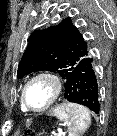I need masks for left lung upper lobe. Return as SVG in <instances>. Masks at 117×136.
Instances as JSON below:
<instances>
[{"instance_id": "5c2ea615", "label": "left lung upper lobe", "mask_w": 117, "mask_h": 136, "mask_svg": "<svg viewBox=\"0 0 117 136\" xmlns=\"http://www.w3.org/2000/svg\"><path fill=\"white\" fill-rule=\"evenodd\" d=\"M18 66V78L34 71L58 72L67 80L76 64L90 55V46L71 18L43 30H35Z\"/></svg>"}]
</instances>
